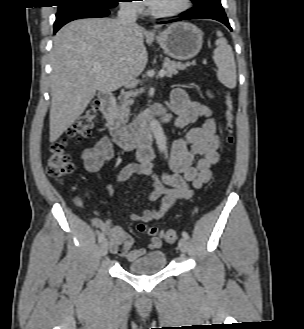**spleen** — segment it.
Listing matches in <instances>:
<instances>
[{
    "instance_id": "3e777b00",
    "label": "spleen",
    "mask_w": 304,
    "mask_h": 329,
    "mask_svg": "<svg viewBox=\"0 0 304 329\" xmlns=\"http://www.w3.org/2000/svg\"><path fill=\"white\" fill-rule=\"evenodd\" d=\"M219 37L215 44L217 48L214 51L213 59L218 67L217 77L226 87L233 89L236 87V64L234 54L227 40L220 31H217Z\"/></svg>"
}]
</instances>
